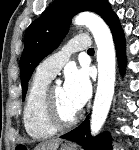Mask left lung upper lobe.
<instances>
[{"mask_svg": "<svg viewBox=\"0 0 139 150\" xmlns=\"http://www.w3.org/2000/svg\"><path fill=\"white\" fill-rule=\"evenodd\" d=\"M110 10L107 0H55L31 23L25 33L24 50L19 62L23 100L35 67L59 46L72 17L82 11H92L105 19Z\"/></svg>", "mask_w": 139, "mask_h": 150, "instance_id": "1", "label": "left lung upper lobe"}]
</instances>
